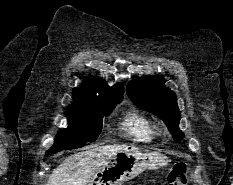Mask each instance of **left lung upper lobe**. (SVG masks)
Returning <instances> with one entry per match:
<instances>
[{
  "label": "left lung upper lobe",
  "instance_id": "5c2ea615",
  "mask_svg": "<svg viewBox=\"0 0 233 185\" xmlns=\"http://www.w3.org/2000/svg\"><path fill=\"white\" fill-rule=\"evenodd\" d=\"M165 81L159 76H149L130 82L127 86V94L140 109L149 111L161 118L176 142L183 138V133L178 125L181 113L177 106V98L174 92L167 89Z\"/></svg>",
  "mask_w": 233,
  "mask_h": 185
}]
</instances>
